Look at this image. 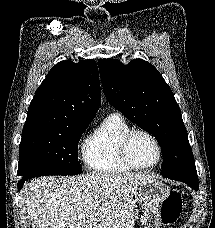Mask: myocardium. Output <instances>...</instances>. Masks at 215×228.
<instances>
[{
  "label": "myocardium",
  "instance_id": "obj_1",
  "mask_svg": "<svg viewBox=\"0 0 215 228\" xmlns=\"http://www.w3.org/2000/svg\"><path fill=\"white\" fill-rule=\"evenodd\" d=\"M137 134H143L146 137H148L156 148L157 159L153 164L149 166H137L132 162L130 158V153H129L130 143L133 137ZM118 153L121 161L127 168H129L130 170H138V171H149L156 168L160 164L162 160V155H163L162 147L158 139L150 131L145 129H140V128L130 129L120 138L118 142Z\"/></svg>",
  "mask_w": 215,
  "mask_h": 228
}]
</instances>
